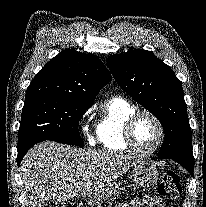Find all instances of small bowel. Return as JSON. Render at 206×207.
<instances>
[{
  "mask_svg": "<svg viewBox=\"0 0 206 207\" xmlns=\"http://www.w3.org/2000/svg\"><path fill=\"white\" fill-rule=\"evenodd\" d=\"M118 207H165V203L158 197L144 196L141 199L132 200L129 204L119 205Z\"/></svg>",
  "mask_w": 206,
  "mask_h": 207,
  "instance_id": "small-bowel-1",
  "label": "small bowel"
}]
</instances>
